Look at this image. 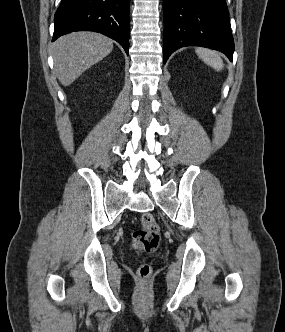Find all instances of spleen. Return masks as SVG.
Instances as JSON below:
<instances>
[{"label":"spleen","instance_id":"1","mask_svg":"<svg viewBox=\"0 0 285 332\" xmlns=\"http://www.w3.org/2000/svg\"><path fill=\"white\" fill-rule=\"evenodd\" d=\"M195 52L200 59L216 71H221L224 68L223 60L218 52L206 48H196Z\"/></svg>","mask_w":285,"mask_h":332}]
</instances>
